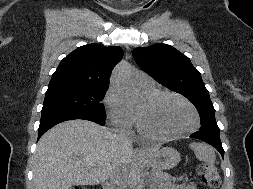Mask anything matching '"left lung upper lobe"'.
Returning <instances> with one entry per match:
<instances>
[{
	"label": "left lung upper lobe",
	"mask_w": 253,
	"mask_h": 189,
	"mask_svg": "<svg viewBox=\"0 0 253 189\" xmlns=\"http://www.w3.org/2000/svg\"><path fill=\"white\" fill-rule=\"evenodd\" d=\"M132 55L137 64L157 82L189 99L201 117L200 130H219L215 109L201 74L190 59L166 44L139 47Z\"/></svg>",
	"instance_id": "obj_1"
}]
</instances>
